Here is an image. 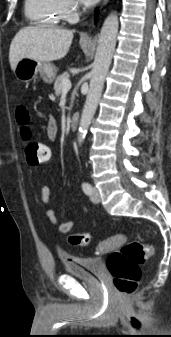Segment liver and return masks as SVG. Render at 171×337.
<instances>
[{
	"mask_svg": "<svg viewBox=\"0 0 171 337\" xmlns=\"http://www.w3.org/2000/svg\"><path fill=\"white\" fill-rule=\"evenodd\" d=\"M73 31L55 27H26L13 38L9 63L14 71L23 58L42 62L62 59L72 43Z\"/></svg>",
	"mask_w": 171,
	"mask_h": 337,
	"instance_id": "1",
	"label": "liver"
}]
</instances>
